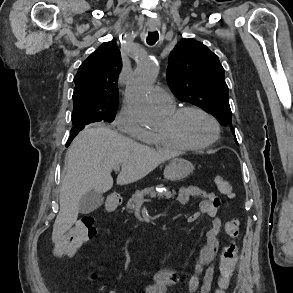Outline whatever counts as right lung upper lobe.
I'll use <instances>...</instances> for the list:
<instances>
[{
	"label": "right lung upper lobe",
	"mask_w": 293,
	"mask_h": 293,
	"mask_svg": "<svg viewBox=\"0 0 293 293\" xmlns=\"http://www.w3.org/2000/svg\"><path fill=\"white\" fill-rule=\"evenodd\" d=\"M122 60L113 41L98 47L79 67L74 78V108L108 111L118 105L117 81Z\"/></svg>",
	"instance_id": "right-lung-upper-lobe-1"
}]
</instances>
